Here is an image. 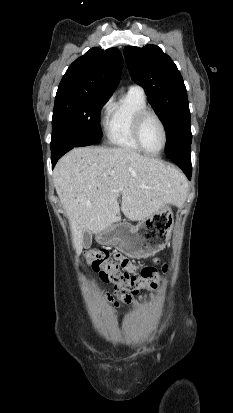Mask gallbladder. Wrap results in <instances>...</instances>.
Listing matches in <instances>:
<instances>
[{"mask_svg": "<svg viewBox=\"0 0 233 413\" xmlns=\"http://www.w3.org/2000/svg\"><path fill=\"white\" fill-rule=\"evenodd\" d=\"M91 244H92V236L90 232L86 231L83 234V246L84 248H90Z\"/></svg>", "mask_w": 233, "mask_h": 413, "instance_id": "obj_1", "label": "gallbladder"}]
</instances>
